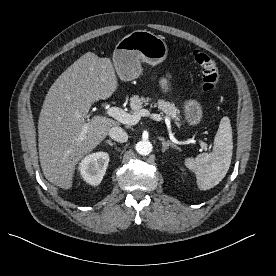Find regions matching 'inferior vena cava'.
Returning <instances> with one entry per match:
<instances>
[{
	"label": "inferior vena cava",
	"instance_id": "obj_1",
	"mask_svg": "<svg viewBox=\"0 0 276 276\" xmlns=\"http://www.w3.org/2000/svg\"><path fill=\"white\" fill-rule=\"evenodd\" d=\"M109 136L111 139L120 143L127 142L128 140L127 133L121 127L118 126H114L109 130Z\"/></svg>",
	"mask_w": 276,
	"mask_h": 276
}]
</instances>
